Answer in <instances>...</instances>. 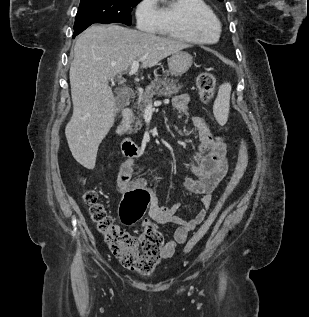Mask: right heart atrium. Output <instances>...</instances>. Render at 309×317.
<instances>
[{
    "instance_id": "1",
    "label": "right heart atrium",
    "mask_w": 309,
    "mask_h": 317,
    "mask_svg": "<svg viewBox=\"0 0 309 317\" xmlns=\"http://www.w3.org/2000/svg\"><path fill=\"white\" fill-rule=\"evenodd\" d=\"M158 0H140L135 8L137 25L144 31H154L161 22Z\"/></svg>"
}]
</instances>
